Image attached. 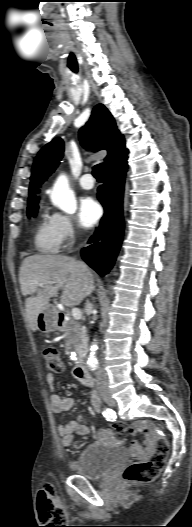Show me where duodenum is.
<instances>
[{
  "label": "duodenum",
  "mask_w": 192,
  "mask_h": 527,
  "mask_svg": "<svg viewBox=\"0 0 192 527\" xmlns=\"http://www.w3.org/2000/svg\"><path fill=\"white\" fill-rule=\"evenodd\" d=\"M63 322H64V315L62 313H59V315H58V323H59V325L62 326ZM74 375L84 385L92 386L94 384L93 378L88 373L86 367L83 364H78L75 367Z\"/></svg>",
  "instance_id": "duodenum-1"
}]
</instances>
